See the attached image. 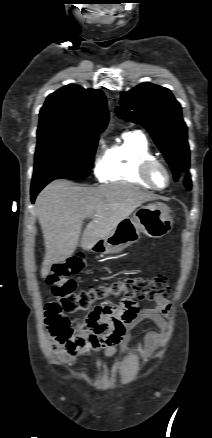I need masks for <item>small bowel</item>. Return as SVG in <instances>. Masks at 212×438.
Masks as SVG:
<instances>
[{
    "mask_svg": "<svg viewBox=\"0 0 212 438\" xmlns=\"http://www.w3.org/2000/svg\"><path fill=\"white\" fill-rule=\"evenodd\" d=\"M156 307L140 310L137 303L123 299L119 304L95 307L85 318L74 320L78 333L73 330L56 335L50 330L54 351L62 361L74 363L80 354L101 351L111 357L118 352L128 353L129 330L142 320H151L159 329L147 336L144 358H149L160 346L167 323L164 319L170 308L164 297L154 300Z\"/></svg>",
    "mask_w": 212,
    "mask_h": 438,
    "instance_id": "1",
    "label": "small bowel"
}]
</instances>
